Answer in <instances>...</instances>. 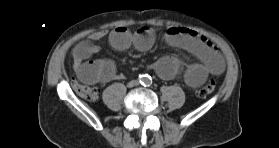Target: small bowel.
<instances>
[{"label": "small bowel", "instance_id": "small-bowel-1", "mask_svg": "<svg viewBox=\"0 0 279 148\" xmlns=\"http://www.w3.org/2000/svg\"><path fill=\"white\" fill-rule=\"evenodd\" d=\"M107 35L105 31H97L89 35L86 41L78 43L73 51L74 69L78 78L86 84L108 83L121 78L113 61L109 59L89 60L99 51L96 41ZM112 47L123 51L134 46L139 51L149 50L155 42L154 31L147 26L135 32L125 27H117L108 34ZM166 42L194 55L199 61L186 65L184 78L190 87H198L209 75H220L225 63L218 49L207 38L184 27H170L165 34ZM182 62L174 56L159 58L152 68L164 79L176 77L182 70Z\"/></svg>", "mask_w": 279, "mask_h": 148}]
</instances>
